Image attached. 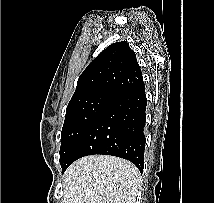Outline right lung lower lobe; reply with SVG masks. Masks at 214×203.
Returning <instances> with one entry per match:
<instances>
[{"label":"right lung lower lobe","instance_id":"98d812e1","mask_svg":"<svg viewBox=\"0 0 214 203\" xmlns=\"http://www.w3.org/2000/svg\"><path fill=\"white\" fill-rule=\"evenodd\" d=\"M146 106L144 83L114 96L77 141L61 165L62 173L75 160L93 154L127 159L142 173Z\"/></svg>","mask_w":214,"mask_h":203}]
</instances>
